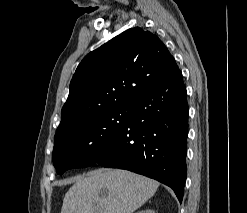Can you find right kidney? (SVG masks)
I'll list each match as a JSON object with an SVG mask.
<instances>
[{
	"label": "right kidney",
	"mask_w": 247,
	"mask_h": 213,
	"mask_svg": "<svg viewBox=\"0 0 247 213\" xmlns=\"http://www.w3.org/2000/svg\"><path fill=\"white\" fill-rule=\"evenodd\" d=\"M136 213H155V212L153 210H151V209H146V210H140V211H138Z\"/></svg>",
	"instance_id": "obj_1"
}]
</instances>
